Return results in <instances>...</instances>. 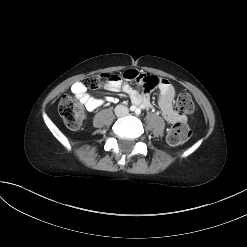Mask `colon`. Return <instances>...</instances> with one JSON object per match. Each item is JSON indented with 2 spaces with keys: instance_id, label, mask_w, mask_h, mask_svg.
I'll return each instance as SVG.
<instances>
[{
  "instance_id": "colon-1",
  "label": "colon",
  "mask_w": 247,
  "mask_h": 247,
  "mask_svg": "<svg viewBox=\"0 0 247 247\" xmlns=\"http://www.w3.org/2000/svg\"><path fill=\"white\" fill-rule=\"evenodd\" d=\"M111 73H101L88 76L83 84L89 89H99L104 87V80ZM143 76V75H142ZM147 83L154 87L156 80L152 77L145 78ZM176 109L182 115L191 114L194 111V102L189 93L182 91L176 99ZM58 111L65 125L71 130L81 128L85 119V110L82 102L70 95H64L58 105ZM190 137V128L188 124L181 119L167 134V142L172 146L183 144Z\"/></svg>"
}]
</instances>
